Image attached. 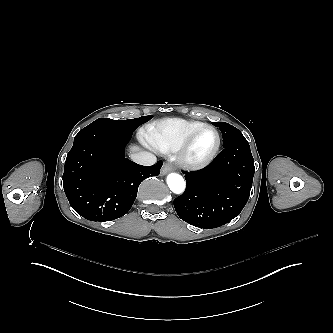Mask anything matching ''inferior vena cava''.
Here are the masks:
<instances>
[{"instance_id":"obj_1","label":"inferior vena cava","mask_w":333,"mask_h":333,"mask_svg":"<svg viewBox=\"0 0 333 333\" xmlns=\"http://www.w3.org/2000/svg\"><path fill=\"white\" fill-rule=\"evenodd\" d=\"M130 158L133 162L144 166H151L155 164L157 160L154 154L147 151L133 153L130 155Z\"/></svg>"}]
</instances>
